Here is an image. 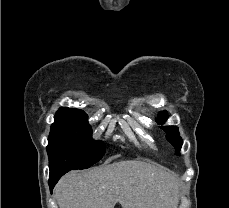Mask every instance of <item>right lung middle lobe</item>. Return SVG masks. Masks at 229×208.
Segmentation results:
<instances>
[{
    "instance_id": "right-lung-middle-lobe-1",
    "label": "right lung middle lobe",
    "mask_w": 229,
    "mask_h": 208,
    "mask_svg": "<svg viewBox=\"0 0 229 208\" xmlns=\"http://www.w3.org/2000/svg\"><path fill=\"white\" fill-rule=\"evenodd\" d=\"M87 119L55 114L47 146L50 175L88 168L103 157L105 144L92 139V129Z\"/></svg>"
}]
</instances>
